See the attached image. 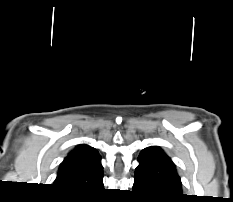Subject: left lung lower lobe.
Wrapping results in <instances>:
<instances>
[{
    "label": "left lung lower lobe",
    "mask_w": 233,
    "mask_h": 202,
    "mask_svg": "<svg viewBox=\"0 0 233 202\" xmlns=\"http://www.w3.org/2000/svg\"><path fill=\"white\" fill-rule=\"evenodd\" d=\"M133 191L146 199L156 202H180L182 195L165 190L152 188L141 177H134Z\"/></svg>",
    "instance_id": "left-lung-lower-lobe-1"
}]
</instances>
